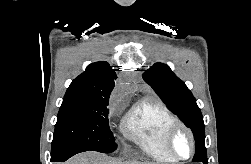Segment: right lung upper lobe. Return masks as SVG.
I'll list each match as a JSON object with an SVG mask.
<instances>
[{"label":"right lung upper lobe","instance_id":"cb5924a9","mask_svg":"<svg viewBox=\"0 0 251 164\" xmlns=\"http://www.w3.org/2000/svg\"><path fill=\"white\" fill-rule=\"evenodd\" d=\"M116 73L105 62H95L87 66L85 72L72 81L64 98L109 101L114 88Z\"/></svg>","mask_w":251,"mask_h":164}]
</instances>
